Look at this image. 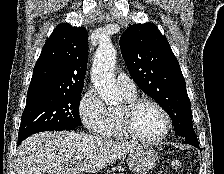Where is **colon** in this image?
<instances>
[{
  "mask_svg": "<svg viewBox=\"0 0 224 174\" xmlns=\"http://www.w3.org/2000/svg\"><path fill=\"white\" fill-rule=\"evenodd\" d=\"M170 168L171 170L175 171V172H178L180 170H182L183 168V163L181 160L179 159H173L171 160L170 162Z\"/></svg>",
  "mask_w": 224,
  "mask_h": 174,
  "instance_id": "obj_1",
  "label": "colon"
}]
</instances>
